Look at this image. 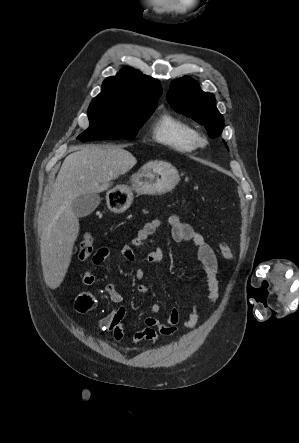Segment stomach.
Listing matches in <instances>:
<instances>
[{
	"mask_svg": "<svg viewBox=\"0 0 299 443\" xmlns=\"http://www.w3.org/2000/svg\"><path fill=\"white\" fill-rule=\"evenodd\" d=\"M176 168L165 162H150L132 175V188L118 185L106 194L108 208L114 213L127 210L133 201V190L144 195H158L171 191L179 182Z\"/></svg>",
	"mask_w": 299,
	"mask_h": 443,
	"instance_id": "0dacf381",
	"label": "stomach"
}]
</instances>
